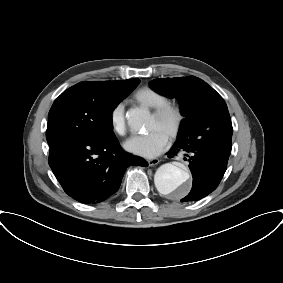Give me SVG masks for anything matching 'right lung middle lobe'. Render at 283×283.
I'll use <instances>...</instances> for the list:
<instances>
[{"label":"right lung middle lobe","instance_id":"1","mask_svg":"<svg viewBox=\"0 0 283 283\" xmlns=\"http://www.w3.org/2000/svg\"><path fill=\"white\" fill-rule=\"evenodd\" d=\"M139 82L135 79L124 87L103 90L81 82L64 91L49 111L46 132L49 146L78 138L101 141L114 136L112 112Z\"/></svg>","mask_w":283,"mask_h":283}]
</instances>
